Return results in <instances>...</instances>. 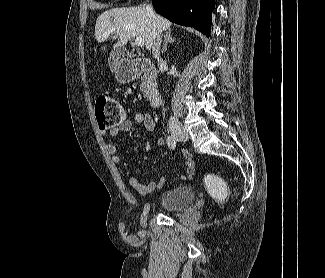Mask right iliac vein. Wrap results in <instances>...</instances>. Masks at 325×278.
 <instances>
[{
  "label": "right iliac vein",
  "mask_w": 325,
  "mask_h": 278,
  "mask_svg": "<svg viewBox=\"0 0 325 278\" xmlns=\"http://www.w3.org/2000/svg\"><path fill=\"white\" fill-rule=\"evenodd\" d=\"M171 133H172L173 137H175L178 140H187L188 139L187 132L181 127L171 128Z\"/></svg>",
  "instance_id": "1"
}]
</instances>
